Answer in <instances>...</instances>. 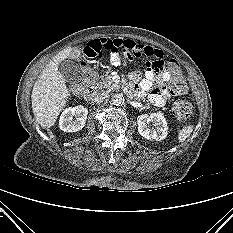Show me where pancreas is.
<instances>
[{"mask_svg":"<svg viewBox=\"0 0 233 233\" xmlns=\"http://www.w3.org/2000/svg\"><path fill=\"white\" fill-rule=\"evenodd\" d=\"M96 88L100 91L111 92L112 90L119 88V85L112 82L111 76H106L96 83Z\"/></svg>","mask_w":233,"mask_h":233,"instance_id":"1","label":"pancreas"}]
</instances>
